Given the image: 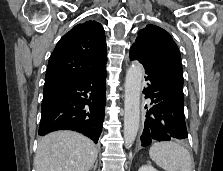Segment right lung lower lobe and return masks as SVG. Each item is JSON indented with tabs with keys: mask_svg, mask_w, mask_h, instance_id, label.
I'll use <instances>...</instances> for the list:
<instances>
[{
	"mask_svg": "<svg viewBox=\"0 0 223 171\" xmlns=\"http://www.w3.org/2000/svg\"><path fill=\"white\" fill-rule=\"evenodd\" d=\"M105 78L106 67L77 83L44 91L39 135L67 129L97 143L106 104Z\"/></svg>",
	"mask_w": 223,
	"mask_h": 171,
	"instance_id": "98d812e1",
	"label": "right lung lower lobe"
}]
</instances>
